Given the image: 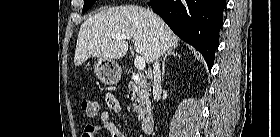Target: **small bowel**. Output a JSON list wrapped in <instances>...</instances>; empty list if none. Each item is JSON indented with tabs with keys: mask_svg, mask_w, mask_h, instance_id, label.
Segmentation results:
<instances>
[{
	"mask_svg": "<svg viewBox=\"0 0 280 137\" xmlns=\"http://www.w3.org/2000/svg\"><path fill=\"white\" fill-rule=\"evenodd\" d=\"M105 102L107 110L101 114V125L86 126L83 137H89L88 135L96 137L100 130L106 132L108 137H124L123 133L119 130L115 123L110 120V113L118 116L120 115L121 110L117 98L113 94H107Z\"/></svg>",
	"mask_w": 280,
	"mask_h": 137,
	"instance_id": "1",
	"label": "small bowel"
}]
</instances>
